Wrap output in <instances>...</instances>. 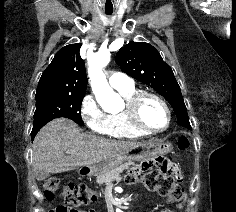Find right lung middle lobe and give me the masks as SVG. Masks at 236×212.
<instances>
[{"mask_svg":"<svg viewBox=\"0 0 236 212\" xmlns=\"http://www.w3.org/2000/svg\"><path fill=\"white\" fill-rule=\"evenodd\" d=\"M85 94L78 95H46L36 98V110L31 132L32 140L37 132L49 121L66 117L83 125L80 114L81 102Z\"/></svg>","mask_w":236,"mask_h":212,"instance_id":"right-lung-middle-lobe-1","label":"right lung middle lobe"}]
</instances>
